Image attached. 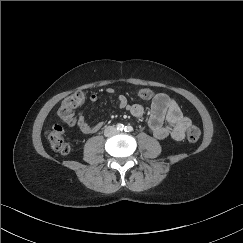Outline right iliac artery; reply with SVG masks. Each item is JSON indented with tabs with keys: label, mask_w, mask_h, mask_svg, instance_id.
Segmentation results:
<instances>
[{
	"label": "right iliac artery",
	"mask_w": 243,
	"mask_h": 243,
	"mask_svg": "<svg viewBox=\"0 0 243 243\" xmlns=\"http://www.w3.org/2000/svg\"><path fill=\"white\" fill-rule=\"evenodd\" d=\"M116 128H117V130L122 131L124 129V125L121 123H118Z\"/></svg>",
	"instance_id": "right-iliac-artery-1"
}]
</instances>
